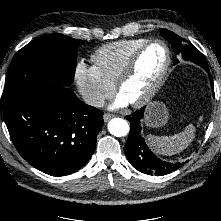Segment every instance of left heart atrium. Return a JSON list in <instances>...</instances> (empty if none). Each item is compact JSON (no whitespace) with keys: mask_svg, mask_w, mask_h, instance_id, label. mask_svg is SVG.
<instances>
[{"mask_svg":"<svg viewBox=\"0 0 221 221\" xmlns=\"http://www.w3.org/2000/svg\"><path fill=\"white\" fill-rule=\"evenodd\" d=\"M128 103L129 102L121 94H119L114 102V107H122Z\"/></svg>","mask_w":221,"mask_h":221,"instance_id":"left-heart-atrium-1","label":"left heart atrium"}]
</instances>
